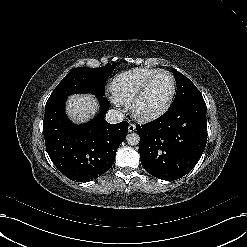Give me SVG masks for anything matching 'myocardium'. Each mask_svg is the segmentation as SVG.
Returning <instances> with one entry per match:
<instances>
[{
	"mask_svg": "<svg viewBox=\"0 0 247 247\" xmlns=\"http://www.w3.org/2000/svg\"><path fill=\"white\" fill-rule=\"evenodd\" d=\"M160 74H166L171 80L172 88H171V92H170L168 98L166 99V101L161 106H159L153 110L141 111L138 107L140 99L142 98L143 94L145 93L148 85L152 82V80L156 76H158ZM175 92H176V82H175L174 76L167 70H163V69L158 70L157 72H155L153 75H151L143 83V85L140 87L138 92L130 100L129 110L135 119H137L139 121H150V120L160 116L161 114H163L169 108V106L171 105V103L173 101Z\"/></svg>",
	"mask_w": 247,
	"mask_h": 247,
	"instance_id": "f54148a6",
	"label": "myocardium"
}]
</instances>
